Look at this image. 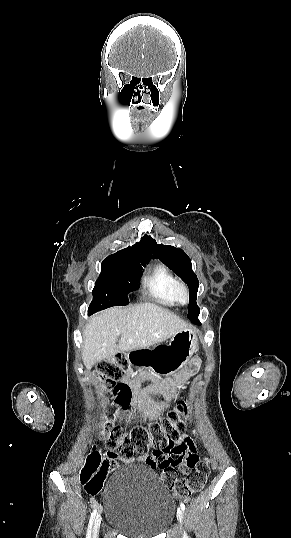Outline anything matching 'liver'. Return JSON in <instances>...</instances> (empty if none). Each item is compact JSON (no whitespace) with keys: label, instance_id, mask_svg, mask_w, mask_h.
<instances>
[{"label":"liver","instance_id":"6515ba94","mask_svg":"<svg viewBox=\"0 0 291 538\" xmlns=\"http://www.w3.org/2000/svg\"><path fill=\"white\" fill-rule=\"evenodd\" d=\"M187 328L179 316L150 302L113 307L92 316L86 325L83 362L90 366L117 353L149 347Z\"/></svg>","mask_w":291,"mask_h":538}]
</instances>
